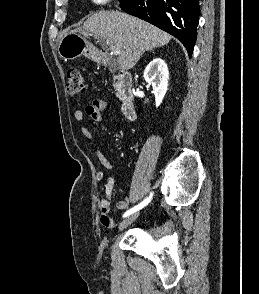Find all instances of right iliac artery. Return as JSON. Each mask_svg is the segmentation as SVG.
I'll return each instance as SVG.
<instances>
[{
    "mask_svg": "<svg viewBox=\"0 0 259 294\" xmlns=\"http://www.w3.org/2000/svg\"><path fill=\"white\" fill-rule=\"evenodd\" d=\"M152 193H150L149 197H147L144 201H142L140 204L134 206L133 208L129 209L128 211H126L123 215V217H127L129 215H131L132 213L142 209L144 206H146L152 199Z\"/></svg>",
    "mask_w": 259,
    "mask_h": 294,
    "instance_id": "82829eb1",
    "label": "right iliac artery"
}]
</instances>
